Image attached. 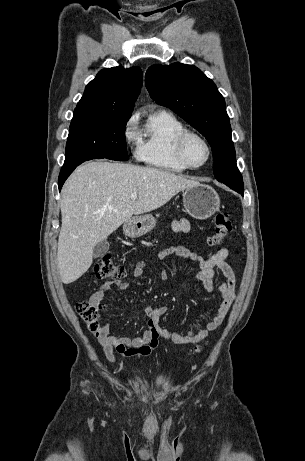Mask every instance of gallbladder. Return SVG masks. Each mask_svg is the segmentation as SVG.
<instances>
[{"mask_svg": "<svg viewBox=\"0 0 305 461\" xmlns=\"http://www.w3.org/2000/svg\"><path fill=\"white\" fill-rule=\"evenodd\" d=\"M109 242L104 239L102 241H100L99 243L96 244V246L94 247V250H93V256L95 258H99L101 256H103L104 254L107 253V251L109 250Z\"/></svg>", "mask_w": 305, "mask_h": 461, "instance_id": "bac80fb5", "label": "gallbladder"}]
</instances>
